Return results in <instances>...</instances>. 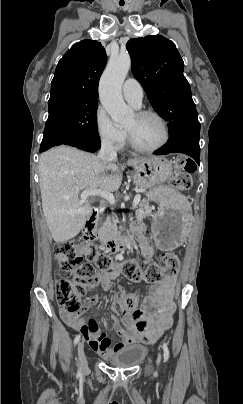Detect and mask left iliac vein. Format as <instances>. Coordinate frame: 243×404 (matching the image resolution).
I'll return each instance as SVG.
<instances>
[{"label":"left iliac vein","instance_id":"1","mask_svg":"<svg viewBox=\"0 0 243 404\" xmlns=\"http://www.w3.org/2000/svg\"><path fill=\"white\" fill-rule=\"evenodd\" d=\"M160 360H161V354L159 353V355H158V360H157V363H158V364L160 363Z\"/></svg>","mask_w":243,"mask_h":404}]
</instances>
